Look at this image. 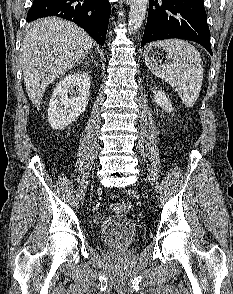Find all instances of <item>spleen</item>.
<instances>
[{
  "instance_id": "spleen-1",
  "label": "spleen",
  "mask_w": 233,
  "mask_h": 294,
  "mask_svg": "<svg viewBox=\"0 0 233 294\" xmlns=\"http://www.w3.org/2000/svg\"><path fill=\"white\" fill-rule=\"evenodd\" d=\"M156 48L165 49L168 63L158 64L149 59L148 53ZM144 55L149 70L173 87L186 107H193L203 81V62L199 51L187 41L166 39L147 44Z\"/></svg>"
}]
</instances>
